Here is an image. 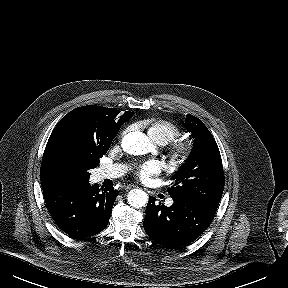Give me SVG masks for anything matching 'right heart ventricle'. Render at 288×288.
I'll return each instance as SVG.
<instances>
[{
  "label": "right heart ventricle",
  "mask_w": 288,
  "mask_h": 288,
  "mask_svg": "<svg viewBox=\"0 0 288 288\" xmlns=\"http://www.w3.org/2000/svg\"><path fill=\"white\" fill-rule=\"evenodd\" d=\"M141 125L146 127L148 136L158 144H166L181 134L180 127L167 119L144 120Z\"/></svg>",
  "instance_id": "obj_1"
}]
</instances>
